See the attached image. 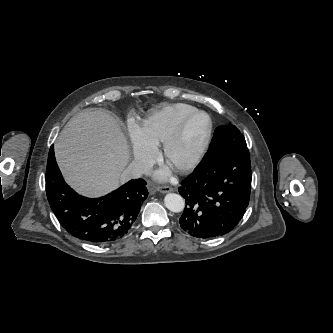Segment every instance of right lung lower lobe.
Returning <instances> with one entry per match:
<instances>
[{
	"instance_id": "1",
	"label": "right lung lower lobe",
	"mask_w": 333,
	"mask_h": 333,
	"mask_svg": "<svg viewBox=\"0 0 333 333\" xmlns=\"http://www.w3.org/2000/svg\"><path fill=\"white\" fill-rule=\"evenodd\" d=\"M146 184L143 179H133L104 197H83L65 183L53 146L50 148L46 170L49 204L62 227L85 242L108 244L126 235L147 198Z\"/></svg>"
}]
</instances>
